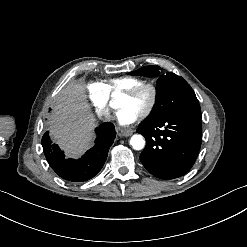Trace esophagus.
I'll list each match as a JSON object with an SVG mask.
<instances>
[{
  "mask_svg": "<svg viewBox=\"0 0 247 247\" xmlns=\"http://www.w3.org/2000/svg\"><path fill=\"white\" fill-rule=\"evenodd\" d=\"M120 133L123 137H129L133 134V130L132 129H127V128H121L120 129Z\"/></svg>",
  "mask_w": 247,
  "mask_h": 247,
  "instance_id": "1",
  "label": "esophagus"
}]
</instances>
